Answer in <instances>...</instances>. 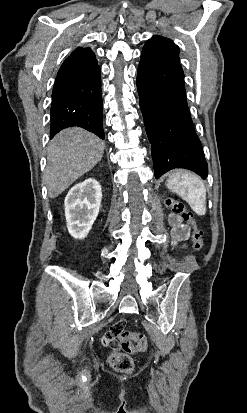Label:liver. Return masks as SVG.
<instances>
[{
  "instance_id": "6515ba94",
  "label": "liver",
  "mask_w": 247,
  "mask_h": 413,
  "mask_svg": "<svg viewBox=\"0 0 247 413\" xmlns=\"http://www.w3.org/2000/svg\"><path fill=\"white\" fill-rule=\"evenodd\" d=\"M105 142L84 128H64L50 142L45 172L48 196L54 198L78 176L91 170L104 152Z\"/></svg>"
}]
</instances>
